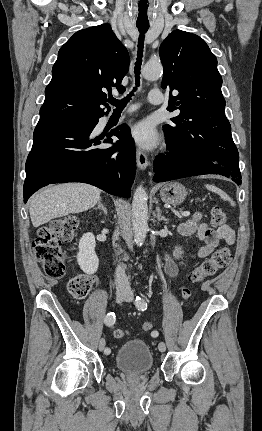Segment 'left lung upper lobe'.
<instances>
[{
	"instance_id": "1",
	"label": "left lung upper lobe",
	"mask_w": 262,
	"mask_h": 431,
	"mask_svg": "<svg viewBox=\"0 0 262 431\" xmlns=\"http://www.w3.org/2000/svg\"><path fill=\"white\" fill-rule=\"evenodd\" d=\"M164 67L162 87L170 91V111L180 110L163 130L171 148L200 154H218L233 143L224 113L222 78L217 59L199 36L181 30L168 35L159 48ZM179 93L172 96L171 92Z\"/></svg>"
}]
</instances>
